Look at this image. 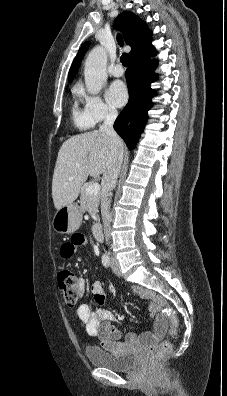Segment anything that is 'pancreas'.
Wrapping results in <instances>:
<instances>
[{"instance_id":"obj_1","label":"pancreas","mask_w":227,"mask_h":396,"mask_svg":"<svg viewBox=\"0 0 227 396\" xmlns=\"http://www.w3.org/2000/svg\"><path fill=\"white\" fill-rule=\"evenodd\" d=\"M89 185H86L81 190L80 196V209L82 212H90L92 218L98 220V206L101 198V194L96 195L87 194L86 190Z\"/></svg>"}]
</instances>
